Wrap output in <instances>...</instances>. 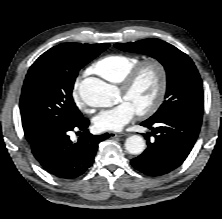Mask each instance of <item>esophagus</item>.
<instances>
[{"label": "esophagus", "instance_id": "34e87169", "mask_svg": "<svg viewBox=\"0 0 222 219\" xmlns=\"http://www.w3.org/2000/svg\"><path fill=\"white\" fill-rule=\"evenodd\" d=\"M125 135H127V134L126 133L109 132V136L111 138L122 137V136H125Z\"/></svg>", "mask_w": 222, "mask_h": 219}]
</instances>
